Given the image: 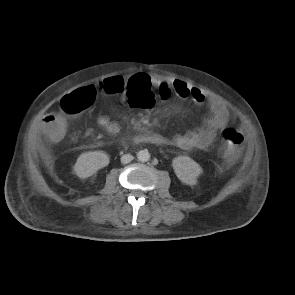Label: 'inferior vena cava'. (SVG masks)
<instances>
[{"label": "inferior vena cava", "mask_w": 295, "mask_h": 295, "mask_svg": "<svg viewBox=\"0 0 295 295\" xmlns=\"http://www.w3.org/2000/svg\"><path fill=\"white\" fill-rule=\"evenodd\" d=\"M133 160V156L131 154H125L121 157V162L123 164H127Z\"/></svg>", "instance_id": "602c4592"}]
</instances>
